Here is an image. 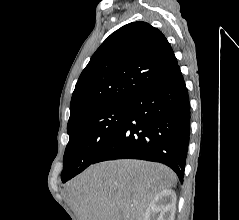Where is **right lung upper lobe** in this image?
<instances>
[{"instance_id":"obj_1","label":"right lung upper lobe","mask_w":239,"mask_h":220,"mask_svg":"<svg viewBox=\"0 0 239 220\" xmlns=\"http://www.w3.org/2000/svg\"><path fill=\"white\" fill-rule=\"evenodd\" d=\"M177 65L165 36L146 22L112 33L81 73L70 105L68 125L96 110L129 103Z\"/></svg>"}]
</instances>
